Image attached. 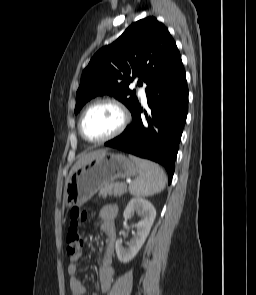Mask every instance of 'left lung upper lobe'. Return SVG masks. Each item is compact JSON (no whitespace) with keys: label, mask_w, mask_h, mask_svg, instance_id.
Segmentation results:
<instances>
[{"label":"left lung upper lobe","mask_w":256,"mask_h":295,"mask_svg":"<svg viewBox=\"0 0 256 295\" xmlns=\"http://www.w3.org/2000/svg\"><path fill=\"white\" fill-rule=\"evenodd\" d=\"M181 60L167 28L154 17L134 22L112 44L101 48L84 69L76 93L75 114L91 98L109 94L124 103L131 114L139 107L129 84L136 78L153 86Z\"/></svg>","instance_id":"5c2ea615"}]
</instances>
